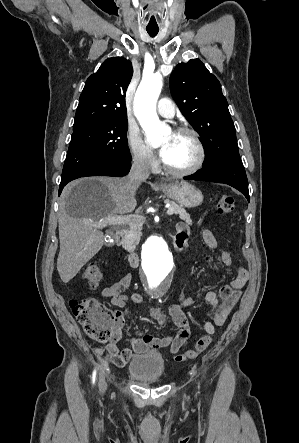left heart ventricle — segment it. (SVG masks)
Masks as SVG:
<instances>
[{"label": "left heart ventricle", "instance_id": "obj_1", "mask_svg": "<svg viewBox=\"0 0 299 443\" xmlns=\"http://www.w3.org/2000/svg\"><path fill=\"white\" fill-rule=\"evenodd\" d=\"M159 146L164 149L162 160L174 169L186 168L196 158L194 141L187 134L168 133L162 138Z\"/></svg>", "mask_w": 299, "mask_h": 443}]
</instances>
